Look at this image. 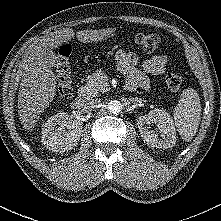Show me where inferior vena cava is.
I'll return each mask as SVG.
<instances>
[{"mask_svg":"<svg viewBox=\"0 0 221 221\" xmlns=\"http://www.w3.org/2000/svg\"><path fill=\"white\" fill-rule=\"evenodd\" d=\"M98 103H100L99 99H90L88 102L84 104L83 111L88 112L92 108H94Z\"/></svg>","mask_w":221,"mask_h":221,"instance_id":"inferior-vena-cava-1","label":"inferior vena cava"}]
</instances>
